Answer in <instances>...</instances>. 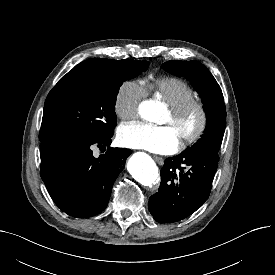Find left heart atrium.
<instances>
[{"instance_id":"obj_1","label":"left heart atrium","mask_w":275,"mask_h":275,"mask_svg":"<svg viewBox=\"0 0 275 275\" xmlns=\"http://www.w3.org/2000/svg\"><path fill=\"white\" fill-rule=\"evenodd\" d=\"M117 139L122 146L155 153H172L179 145V140L170 126L139 121L122 124L118 129Z\"/></svg>"}]
</instances>
